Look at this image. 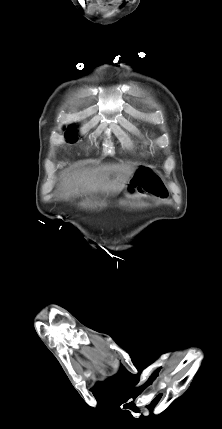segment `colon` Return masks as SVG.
<instances>
[{"instance_id":"obj_1","label":"colon","mask_w":222,"mask_h":429,"mask_svg":"<svg viewBox=\"0 0 222 429\" xmlns=\"http://www.w3.org/2000/svg\"><path fill=\"white\" fill-rule=\"evenodd\" d=\"M131 190L153 194L158 197H165L167 194L160 176L147 166H142L136 170L131 182Z\"/></svg>"}]
</instances>
